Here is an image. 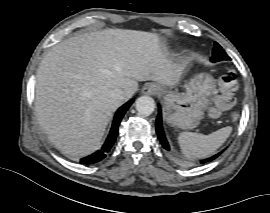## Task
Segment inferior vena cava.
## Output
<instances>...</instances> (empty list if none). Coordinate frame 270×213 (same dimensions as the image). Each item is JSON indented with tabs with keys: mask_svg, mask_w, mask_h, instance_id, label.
<instances>
[{
	"mask_svg": "<svg viewBox=\"0 0 270 213\" xmlns=\"http://www.w3.org/2000/svg\"><path fill=\"white\" fill-rule=\"evenodd\" d=\"M126 93L122 89H114L110 92V98L113 101L122 102L125 100Z\"/></svg>",
	"mask_w": 270,
	"mask_h": 213,
	"instance_id": "1",
	"label": "inferior vena cava"
}]
</instances>
